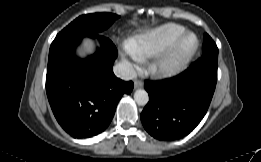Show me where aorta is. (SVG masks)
Listing matches in <instances>:
<instances>
[{
	"label": "aorta",
	"mask_w": 261,
	"mask_h": 162,
	"mask_svg": "<svg viewBox=\"0 0 261 162\" xmlns=\"http://www.w3.org/2000/svg\"><path fill=\"white\" fill-rule=\"evenodd\" d=\"M134 100L138 105L144 106L149 101L148 93L144 89H138L134 93Z\"/></svg>",
	"instance_id": "762f6f07"
}]
</instances>
